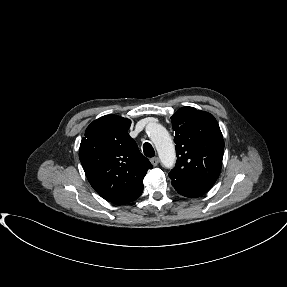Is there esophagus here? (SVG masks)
<instances>
[{"label":"esophagus","instance_id":"esophagus-1","mask_svg":"<svg viewBox=\"0 0 287 287\" xmlns=\"http://www.w3.org/2000/svg\"><path fill=\"white\" fill-rule=\"evenodd\" d=\"M150 162L152 163L153 166H157L159 163V158L158 157H153L150 159Z\"/></svg>","mask_w":287,"mask_h":287}]
</instances>
